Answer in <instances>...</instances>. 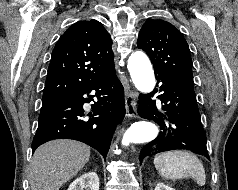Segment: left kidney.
Segmentation results:
<instances>
[{
  "label": "left kidney",
  "instance_id": "left-kidney-1",
  "mask_svg": "<svg viewBox=\"0 0 238 190\" xmlns=\"http://www.w3.org/2000/svg\"><path fill=\"white\" fill-rule=\"evenodd\" d=\"M155 190H175L174 188L165 185L164 183L160 182L156 185Z\"/></svg>",
  "mask_w": 238,
  "mask_h": 190
}]
</instances>
